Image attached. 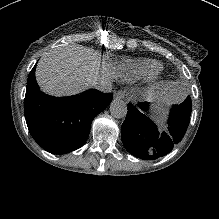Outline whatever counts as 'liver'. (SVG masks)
Listing matches in <instances>:
<instances>
[{
  "instance_id": "6515ba94",
  "label": "liver",
  "mask_w": 219,
  "mask_h": 219,
  "mask_svg": "<svg viewBox=\"0 0 219 219\" xmlns=\"http://www.w3.org/2000/svg\"><path fill=\"white\" fill-rule=\"evenodd\" d=\"M101 75L96 54L82 47L60 48L48 53L41 58L36 70L41 89L57 96L85 91Z\"/></svg>"
}]
</instances>
